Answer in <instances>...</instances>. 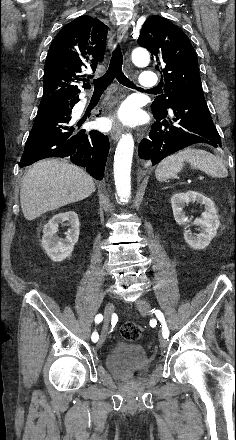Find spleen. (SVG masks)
Instances as JSON below:
<instances>
[{
	"mask_svg": "<svg viewBox=\"0 0 236 440\" xmlns=\"http://www.w3.org/2000/svg\"><path fill=\"white\" fill-rule=\"evenodd\" d=\"M189 163L192 169H199L213 177H226L227 169L215 155L201 149L187 148L162 160L156 170L158 181H166L174 177Z\"/></svg>",
	"mask_w": 236,
	"mask_h": 440,
	"instance_id": "1",
	"label": "spleen"
}]
</instances>
